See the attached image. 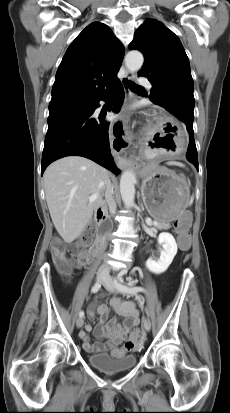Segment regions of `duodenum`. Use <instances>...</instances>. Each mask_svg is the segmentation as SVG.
<instances>
[{
  "instance_id": "410a0bca",
  "label": "duodenum",
  "mask_w": 230,
  "mask_h": 413,
  "mask_svg": "<svg viewBox=\"0 0 230 413\" xmlns=\"http://www.w3.org/2000/svg\"><path fill=\"white\" fill-rule=\"evenodd\" d=\"M96 221L99 225L104 226L106 222L108 221V212L104 205H99L96 209V214H95ZM101 242V238L99 237L97 239V244L93 246V253H97L99 251V244Z\"/></svg>"
}]
</instances>
